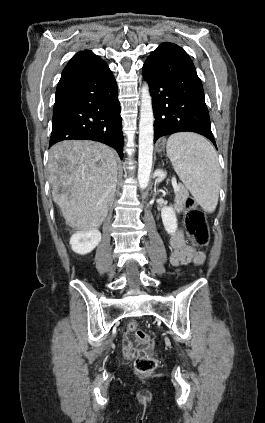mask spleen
<instances>
[{"mask_svg":"<svg viewBox=\"0 0 265 423\" xmlns=\"http://www.w3.org/2000/svg\"><path fill=\"white\" fill-rule=\"evenodd\" d=\"M166 151L175 172L194 200L205 212H214L219 199L221 172L213 145L195 133H176L168 138Z\"/></svg>","mask_w":265,"mask_h":423,"instance_id":"1","label":"spleen"}]
</instances>
